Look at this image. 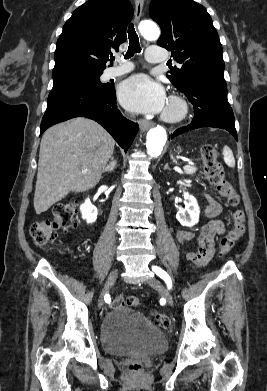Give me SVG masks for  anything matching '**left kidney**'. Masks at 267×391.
Here are the masks:
<instances>
[{"mask_svg": "<svg viewBox=\"0 0 267 391\" xmlns=\"http://www.w3.org/2000/svg\"><path fill=\"white\" fill-rule=\"evenodd\" d=\"M185 209L177 212L176 218L182 226L191 227L198 223L200 208L194 196L184 192Z\"/></svg>", "mask_w": 267, "mask_h": 391, "instance_id": "left-kidney-1", "label": "left kidney"}]
</instances>
